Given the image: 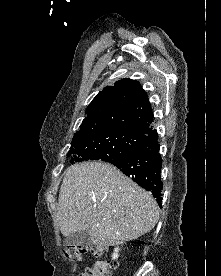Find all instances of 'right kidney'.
I'll list each match as a JSON object with an SVG mask.
<instances>
[{
	"instance_id": "obj_1",
	"label": "right kidney",
	"mask_w": 221,
	"mask_h": 276,
	"mask_svg": "<svg viewBox=\"0 0 221 276\" xmlns=\"http://www.w3.org/2000/svg\"><path fill=\"white\" fill-rule=\"evenodd\" d=\"M118 251H119V249L118 248H115V250H114V253L112 254V259H117L118 258Z\"/></svg>"
}]
</instances>
